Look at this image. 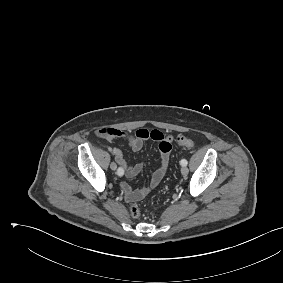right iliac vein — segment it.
<instances>
[{
  "label": "right iliac vein",
  "mask_w": 283,
  "mask_h": 283,
  "mask_svg": "<svg viewBox=\"0 0 283 283\" xmlns=\"http://www.w3.org/2000/svg\"><path fill=\"white\" fill-rule=\"evenodd\" d=\"M110 168H111L112 170H116V169H117L116 163H115V162H112V163L110 164Z\"/></svg>",
  "instance_id": "1"
}]
</instances>
